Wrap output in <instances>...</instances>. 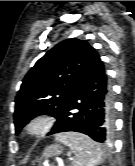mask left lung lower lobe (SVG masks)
<instances>
[{
	"label": "left lung lower lobe",
	"instance_id": "0a47b994",
	"mask_svg": "<svg viewBox=\"0 0 135 166\" xmlns=\"http://www.w3.org/2000/svg\"><path fill=\"white\" fill-rule=\"evenodd\" d=\"M112 90L104 65L94 55L72 91L68 106L60 113L48 135L80 132L100 143L111 140L114 129Z\"/></svg>",
	"mask_w": 135,
	"mask_h": 166
}]
</instances>
